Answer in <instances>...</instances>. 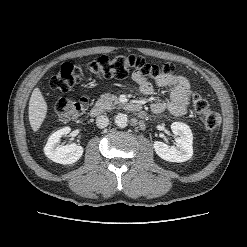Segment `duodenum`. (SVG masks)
<instances>
[{
  "label": "duodenum",
  "instance_id": "1",
  "mask_svg": "<svg viewBox=\"0 0 247 247\" xmlns=\"http://www.w3.org/2000/svg\"><path fill=\"white\" fill-rule=\"evenodd\" d=\"M125 108L128 111L135 112V113L141 112V110H142L141 105L138 103H128L125 105ZM105 109L106 108L103 104L97 103L90 109V115L91 116H99L105 112Z\"/></svg>",
  "mask_w": 247,
  "mask_h": 247
}]
</instances>
